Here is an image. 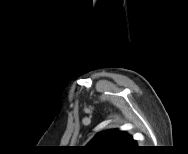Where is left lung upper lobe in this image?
Wrapping results in <instances>:
<instances>
[{
    "label": "left lung upper lobe",
    "mask_w": 188,
    "mask_h": 154,
    "mask_svg": "<svg viewBox=\"0 0 188 154\" xmlns=\"http://www.w3.org/2000/svg\"><path fill=\"white\" fill-rule=\"evenodd\" d=\"M133 143L131 135L115 129L97 134L88 143V147L95 151H123L130 148Z\"/></svg>",
    "instance_id": "left-lung-upper-lobe-1"
}]
</instances>
